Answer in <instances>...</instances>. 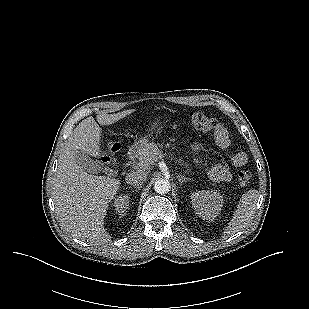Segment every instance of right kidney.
I'll return each instance as SVG.
<instances>
[{
  "label": "right kidney",
  "instance_id": "1",
  "mask_svg": "<svg viewBox=\"0 0 309 309\" xmlns=\"http://www.w3.org/2000/svg\"><path fill=\"white\" fill-rule=\"evenodd\" d=\"M129 197L128 195H120L118 196L113 203L116 212L123 213L128 206Z\"/></svg>",
  "mask_w": 309,
  "mask_h": 309
}]
</instances>
